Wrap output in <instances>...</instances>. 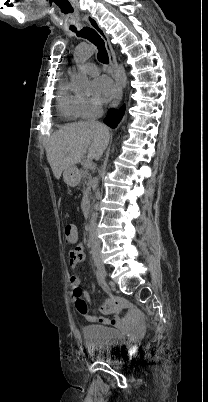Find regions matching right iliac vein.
<instances>
[{"label": "right iliac vein", "instance_id": "1", "mask_svg": "<svg viewBox=\"0 0 208 402\" xmlns=\"http://www.w3.org/2000/svg\"><path fill=\"white\" fill-rule=\"evenodd\" d=\"M94 263L97 266V268H98V270H99V272H100V274H101V276H102V278H103V280L105 282L107 272H106L105 265H104L102 259L99 258V257H95L94 258Z\"/></svg>", "mask_w": 208, "mask_h": 402}]
</instances>
